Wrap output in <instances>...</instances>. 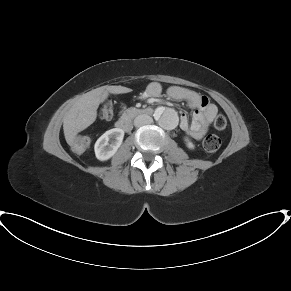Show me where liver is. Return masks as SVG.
I'll return each instance as SVG.
<instances>
[{"mask_svg": "<svg viewBox=\"0 0 291 291\" xmlns=\"http://www.w3.org/2000/svg\"><path fill=\"white\" fill-rule=\"evenodd\" d=\"M131 89L123 86H102L84 94L78 99L63 118V129L67 143L72 145L76 135L89 127L97 117V109L109 93L122 94Z\"/></svg>", "mask_w": 291, "mask_h": 291, "instance_id": "6515ba94", "label": "liver"}]
</instances>
